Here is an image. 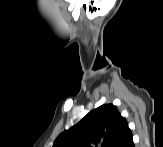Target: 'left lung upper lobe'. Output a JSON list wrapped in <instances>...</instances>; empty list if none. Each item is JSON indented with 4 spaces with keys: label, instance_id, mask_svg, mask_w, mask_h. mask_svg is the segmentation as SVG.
I'll return each instance as SVG.
<instances>
[{
    "label": "left lung upper lobe",
    "instance_id": "5c2ea615",
    "mask_svg": "<svg viewBox=\"0 0 163 147\" xmlns=\"http://www.w3.org/2000/svg\"><path fill=\"white\" fill-rule=\"evenodd\" d=\"M127 126L117 108L105 104L60 134L53 147H114Z\"/></svg>",
    "mask_w": 163,
    "mask_h": 147
}]
</instances>
